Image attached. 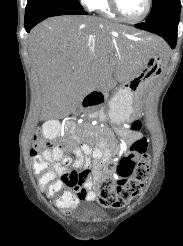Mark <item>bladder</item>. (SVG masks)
Segmentation results:
<instances>
[{"label": "bladder", "mask_w": 183, "mask_h": 246, "mask_svg": "<svg viewBox=\"0 0 183 246\" xmlns=\"http://www.w3.org/2000/svg\"><path fill=\"white\" fill-rule=\"evenodd\" d=\"M105 216V212L99 208H91L83 214L84 219L87 221H100Z\"/></svg>", "instance_id": "1"}]
</instances>
